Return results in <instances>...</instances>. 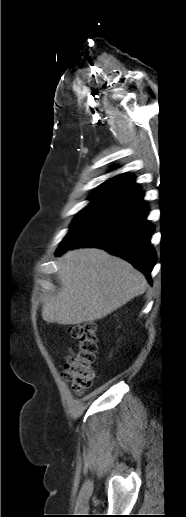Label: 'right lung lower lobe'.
Masks as SVG:
<instances>
[{
  "instance_id": "98d812e1",
  "label": "right lung lower lobe",
  "mask_w": 186,
  "mask_h": 517,
  "mask_svg": "<svg viewBox=\"0 0 186 517\" xmlns=\"http://www.w3.org/2000/svg\"><path fill=\"white\" fill-rule=\"evenodd\" d=\"M142 198L143 192L139 191L111 206L63 241L56 256L71 248H101L127 260L150 280L156 261L155 251L150 244L154 228L146 220L148 206Z\"/></svg>"
}]
</instances>
